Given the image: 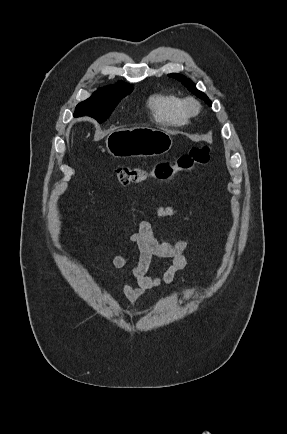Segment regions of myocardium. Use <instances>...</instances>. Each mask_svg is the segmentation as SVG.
<instances>
[{
	"label": "myocardium",
	"mask_w": 287,
	"mask_h": 434,
	"mask_svg": "<svg viewBox=\"0 0 287 434\" xmlns=\"http://www.w3.org/2000/svg\"><path fill=\"white\" fill-rule=\"evenodd\" d=\"M183 107L188 115H195L199 111V103L194 98H188L183 102Z\"/></svg>",
	"instance_id": "1"
}]
</instances>
